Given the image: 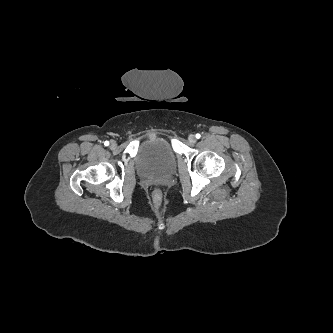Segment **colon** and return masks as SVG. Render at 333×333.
Wrapping results in <instances>:
<instances>
[{
    "label": "colon",
    "instance_id": "obj_1",
    "mask_svg": "<svg viewBox=\"0 0 333 333\" xmlns=\"http://www.w3.org/2000/svg\"><path fill=\"white\" fill-rule=\"evenodd\" d=\"M154 194H155V196H159V195H160V193H159L158 190H156V191L154 192Z\"/></svg>",
    "mask_w": 333,
    "mask_h": 333
}]
</instances>
